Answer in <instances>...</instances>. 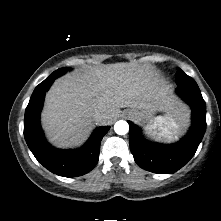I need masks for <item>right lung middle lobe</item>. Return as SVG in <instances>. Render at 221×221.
Listing matches in <instances>:
<instances>
[{
  "instance_id": "right-lung-middle-lobe-1",
  "label": "right lung middle lobe",
  "mask_w": 221,
  "mask_h": 221,
  "mask_svg": "<svg viewBox=\"0 0 221 221\" xmlns=\"http://www.w3.org/2000/svg\"><path fill=\"white\" fill-rule=\"evenodd\" d=\"M69 70L68 67H63V68H60L56 71H54L47 79H45L44 81H47V80H54L56 79L57 77L63 75L64 73H66L67 71Z\"/></svg>"
}]
</instances>
